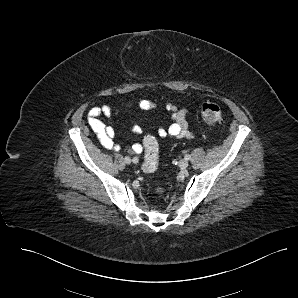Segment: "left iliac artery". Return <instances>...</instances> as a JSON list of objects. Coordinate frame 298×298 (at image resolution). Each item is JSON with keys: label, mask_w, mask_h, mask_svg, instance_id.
<instances>
[{"label": "left iliac artery", "mask_w": 298, "mask_h": 298, "mask_svg": "<svg viewBox=\"0 0 298 298\" xmlns=\"http://www.w3.org/2000/svg\"><path fill=\"white\" fill-rule=\"evenodd\" d=\"M186 160H189L191 158V156L189 154L185 155L184 157Z\"/></svg>", "instance_id": "1"}]
</instances>
